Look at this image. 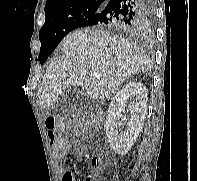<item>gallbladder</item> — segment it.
Masks as SVG:
<instances>
[{"mask_svg":"<svg viewBox=\"0 0 197 181\" xmlns=\"http://www.w3.org/2000/svg\"><path fill=\"white\" fill-rule=\"evenodd\" d=\"M72 91H73L72 89H68V90L66 91L65 94H62V99L59 100V101L57 102V104L60 103V102H62V101H65V100L69 99V95H70V93H71ZM71 105H73V102H72Z\"/></svg>","mask_w":197,"mask_h":181,"instance_id":"bac80fb5","label":"gallbladder"}]
</instances>
